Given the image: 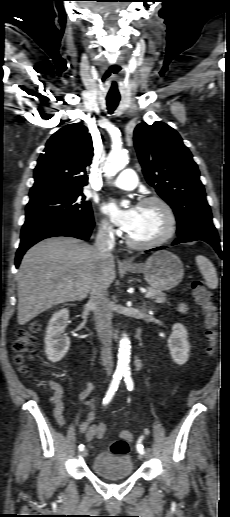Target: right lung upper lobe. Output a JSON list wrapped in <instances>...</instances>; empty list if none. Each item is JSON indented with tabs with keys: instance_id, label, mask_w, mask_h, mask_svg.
Wrapping results in <instances>:
<instances>
[{
	"instance_id": "right-lung-upper-lobe-1",
	"label": "right lung upper lobe",
	"mask_w": 230,
	"mask_h": 517,
	"mask_svg": "<svg viewBox=\"0 0 230 517\" xmlns=\"http://www.w3.org/2000/svg\"><path fill=\"white\" fill-rule=\"evenodd\" d=\"M92 156V138L85 126L69 124L58 130L38 159L30 200L82 190L88 183L86 170Z\"/></svg>"
}]
</instances>
